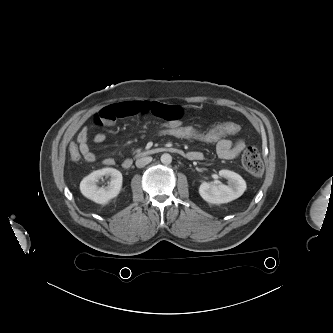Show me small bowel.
I'll list each match as a JSON object with an SVG mask.
<instances>
[{"label":"small bowel","instance_id":"1","mask_svg":"<svg viewBox=\"0 0 333 333\" xmlns=\"http://www.w3.org/2000/svg\"><path fill=\"white\" fill-rule=\"evenodd\" d=\"M141 115H153L161 119L163 123H181L184 116V110L179 106L158 101H128L103 107L94 115L93 121L97 125H110L121 118ZM105 139L106 136L99 133L95 136L94 142L101 144ZM77 143L79 151L84 159L90 163L95 162L97 157L89 146L88 127L81 128L77 135ZM245 146L246 144L243 139L232 141L225 138L217 142L216 152L221 159L231 160L238 157L244 150ZM187 157L192 160H200L202 154L200 152L192 151L187 154ZM102 163L106 166H112L115 164V160L107 157L103 159Z\"/></svg>","mask_w":333,"mask_h":333}]
</instances>
